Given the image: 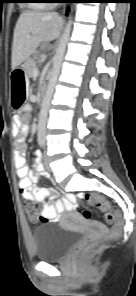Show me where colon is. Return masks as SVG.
I'll return each instance as SVG.
<instances>
[{"instance_id": "colon-1", "label": "colon", "mask_w": 136, "mask_h": 296, "mask_svg": "<svg viewBox=\"0 0 136 296\" xmlns=\"http://www.w3.org/2000/svg\"><path fill=\"white\" fill-rule=\"evenodd\" d=\"M85 199L92 205L97 206L104 213V220L107 224L112 225L114 228L119 229L122 226V217L120 213L116 210H113L110 204L102 197L97 195H86ZM25 211L30 215H37L38 206L33 202H27L24 205ZM77 210L81 211L85 218L90 217V211L82 209L80 206L76 207ZM42 221H45L40 217ZM98 244V241L92 237L85 238L79 252L82 254H87L92 251Z\"/></svg>"}]
</instances>
